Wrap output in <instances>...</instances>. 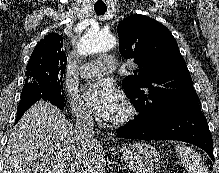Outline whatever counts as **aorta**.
I'll return each mask as SVG.
<instances>
[{
	"mask_svg": "<svg viewBox=\"0 0 219 173\" xmlns=\"http://www.w3.org/2000/svg\"><path fill=\"white\" fill-rule=\"evenodd\" d=\"M117 45L116 38L98 29H90L81 38L78 47V55H91L95 53L107 52L114 49Z\"/></svg>",
	"mask_w": 219,
	"mask_h": 173,
	"instance_id": "762f6f07",
	"label": "aorta"
}]
</instances>
